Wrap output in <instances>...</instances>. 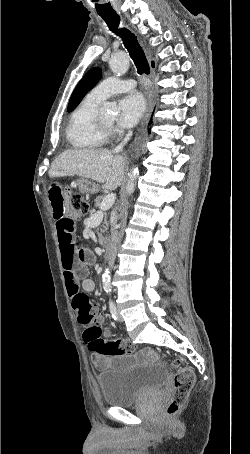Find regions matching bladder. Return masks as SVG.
<instances>
[{
  "instance_id": "bladder-1",
  "label": "bladder",
  "mask_w": 250,
  "mask_h": 454,
  "mask_svg": "<svg viewBox=\"0 0 250 454\" xmlns=\"http://www.w3.org/2000/svg\"><path fill=\"white\" fill-rule=\"evenodd\" d=\"M165 378L164 367L153 363L103 372L98 377V384L105 404L128 407L159 390Z\"/></svg>"
}]
</instances>
